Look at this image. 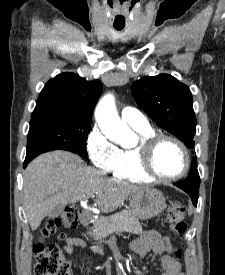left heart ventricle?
<instances>
[{"label":"left heart ventricle","mask_w":225,"mask_h":275,"mask_svg":"<svg viewBox=\"0 0 225 275\" xmlns=\"http://www.w3.org/2000/svg\"><path fill=\"white\" fill-rule=\"evenodd\" d=\"M154 167L164 176L178 174L184 165V157L180 148L173 142L164 141L154 154Z\"/></svg>","instance_id":"1"}]
</instances>
